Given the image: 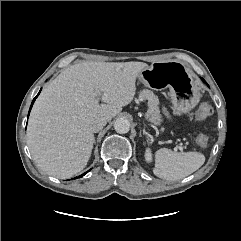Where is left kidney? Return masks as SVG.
Masks as SVG:
<instances>
[{
    "instance_id": "1",
    "label": "left kidney",
    "mask_w": 241,
    "mask_h": 241,
    "mask_svg": "<svg viewBox=\"0 0 241 241\" xmlns=\"http://www.w3.org/2000/svg\"><path fill=\"white\" fill-rule=\"evenodd\" d=\"M145 160L150 163L152 162V153H151V150L149 148L146 149V152H145Z\"/></svg>"
}]
</instances>
